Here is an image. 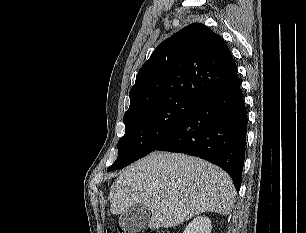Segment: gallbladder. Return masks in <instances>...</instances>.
<instances>
[{"mask_svg": "<svg viewBox=\"0 0 306 233\" xmlns=\"http://www.w3.org/2000/svg\"><path fill=\"white\" fill-rule=\"evenodd\" d=\"M150 212L148 207L135 204L120 215L119 224L126 233H137L147 225Z\"/></svg>", "mask_w": 306, "mask_h": 233, "instance_id": "obj_1", "label": "gallbladder"}]
</instances>
